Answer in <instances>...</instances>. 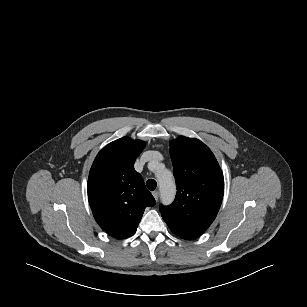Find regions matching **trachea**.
Wrapping results in <instances>:
<instances>
[{
	"label": "trachea",
	"instance_id": "obj_1",
	"mask_svg": "<svg viewBox=\"0 0 307 307\" xmlns=\"http://www.w3.org/2000/svg\"><path fill=\"white\" fill-rule=\"evenodd\" d=\"M146 186L149 190L154 191L157 187V182L154 179H149L146 182Z\"/></svg>",
	"mask_w": 307,
	"mask_h": 307
}]
</instances>
